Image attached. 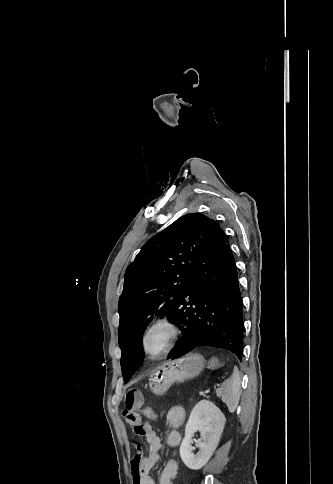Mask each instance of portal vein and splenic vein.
I'll return each mask as SVG.
<instances>
[{"instance_id":"1","label":"portal vein and splenic vein","mask_w":333,"mask_h":484,"mask_svg":"<svg viewBox=\"0 0 333 484\" xmlns=\"http://www.w3.org/2000/svg\"><path fill=\"white\" fill-rule=\"evenodd\" d=\"M204 394H205V390H201V391L199 392V395H204Z\"/></svg>"}]
</instances>
